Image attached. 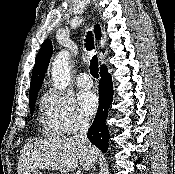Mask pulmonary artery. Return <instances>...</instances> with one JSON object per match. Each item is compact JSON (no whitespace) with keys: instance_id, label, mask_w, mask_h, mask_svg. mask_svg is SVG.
<instances>
[{"instance_id":"e3ab8cb5","label":"pulmonary artery","mask_w":175,"mask_h":174,"mask_svg":"<svg viewBox=\"0 0 175 174\" xmlns=\"http://www.w3.org/2000/svg\"><path fill=\"white\" fill-rule=\"evenodd\" d=\"M77 84L82 88H90L93 84V81L89 74L83 72L78 75Z\"/></svg>"}]
</instances>
